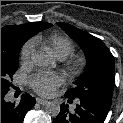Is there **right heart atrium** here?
Segmentation results:
<instances>
[{"instance_id":"1","label":"right heart atrium","mask_w":123,"mask_h":123,"mask_svg":"<svg viewBox=\"0 0 123 123\" xmlns=\"http://www.w3.org/2000/svg\"><path fill=\"white\" fill-rule=\"evenodd\" d=\"M35 50V44L33 40L28 41L21 50V61L23 64H28L31 60L32 54Z\"/></svg>"}]
</instances>
